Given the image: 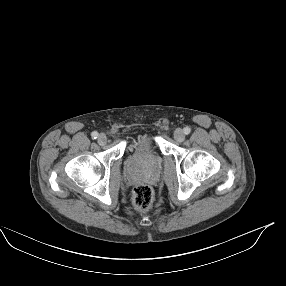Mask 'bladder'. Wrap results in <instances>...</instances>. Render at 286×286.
<instances>
[{
	"instance_id": "1",
	"label": "bladder",
	"mask_w": 286,
	"mask_h": 286,
	"mask_svg": "<svg viewBox=\"0 0 286 286\" xmlns=\"http://www.w3.org/2000/svg\"><path fill=\"white\" fill-rule=\"evenodd\" d=\"M140 145L150 146L156 143V139L152 134H143L137 140Z\"/></svg>"
}]
</instances>
